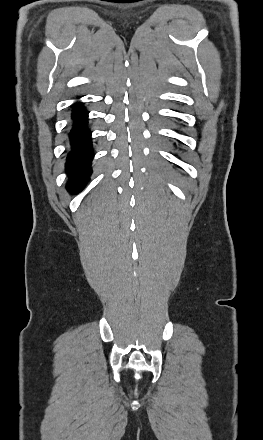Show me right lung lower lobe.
<instances>
[{
	"mask_svg": "<svg viewBox=\"0 0 263 440\" xmlns=\"http://www.w3.org/2000/svg\"><path fill=\"white\" fill-rule=\"evenodd\" d=\"M73 127L70 131L71 152L67 156L66 170L69 176L67 188L73 193L83 189L91 173L93 157L91 132L87 127L88 113L77 104L73 105Z\"/></svg>",
	"mask_w": 263,
	"mask_h": 440,
	"instance_id": "right-lung-lower-lobe-1",
	"label": "right lung lower lobe"
}]
</instances>
